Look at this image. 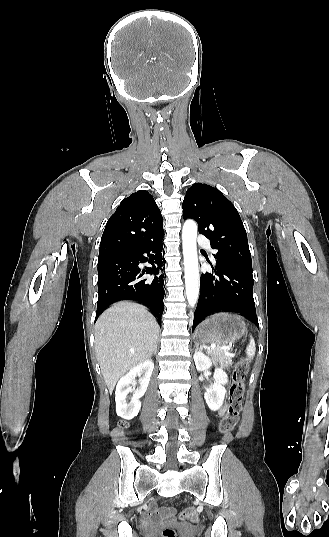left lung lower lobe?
Wrapping results in <instances>:
<instances>
[{"instance_id":"obj_1","label":"left lung lower lobe","mask_w":329,"mask_h":537,"mask_svg":"<svg viewBox=\"0 0 329 537\" xmlns=\"http://www.w3.org/2000/svg\"><path fill=\"white\" fill-rule=\"evenodd\" d=\"M214 274L203 273L192 330L207 315L228 311L240 313L259 327L253 298L252 271L216 260Z\"/></svg>"}]
</instances>
